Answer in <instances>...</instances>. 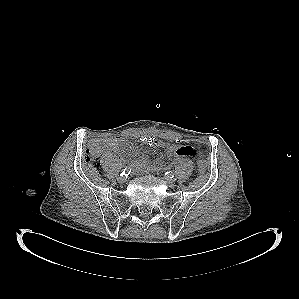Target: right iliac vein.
<instances>
[{"label":"right iliac vein","instance_id":"1","mask_svg":"<svg viewBox=\"0 0 299 299\" xmlns=\"http://www.w3.org/2000/svg\"><path fill=\"white\" fill-rule=\"evenodd\" d=\"M126 180H127V178L125 176H119L118 177V182L121 183V184L125 183Z\"/></svg>","mask_w":299,"mask_h":299}]
</instances>
